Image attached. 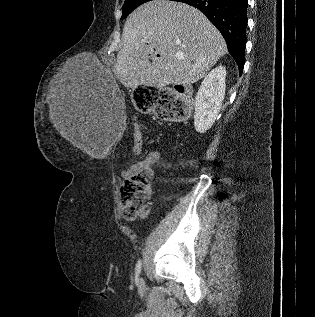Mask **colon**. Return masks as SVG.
I'll list each match as a JSON object with an SVG mask.
<instances>
[{
    "mask_svg": "<svg viewBox=\"0 0 315 317\" xmlns=\"http://www.w3.org/2000/svg\"><path fill=\"white\" fill-rule=\"evenodd\" d=\"M157 98L156 115L168 121L184 120L190 115V101L184 90L161 89ZM142 147V134L139 130L134 133V152L139 153ZM151 193V173L142 170L124 180L121 187V201L125 219L134 221L144 218L148 212L147 198Z\"/></svg>",
    "mask_w": 315,
    "mask_h": 317,
    "instance_id": "obj_1",
    "label": "colon"
}]
</instances>
